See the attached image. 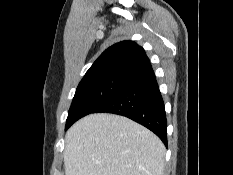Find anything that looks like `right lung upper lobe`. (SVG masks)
Masks as SVG:
<instances>
[{
    "label": "right lung upper lobe",
    "instance_id": "right-lung-upper-lobe-1",
    "mask_svg": "<svg viewBox=\"0 0 233 175\" xmlns=\"http://www.w3.org/2000/svg\"><path fill=\"white\" fill-rule=\"evenodd\" d=\"M152 69L142 47L133 41H122L106 49L93 63L82 80L120 75L139 77Z\"/></svg>",
    "mask_w": 233,
    "mask_h": 175
}]
</instances>
